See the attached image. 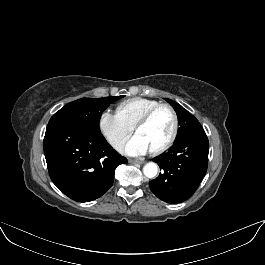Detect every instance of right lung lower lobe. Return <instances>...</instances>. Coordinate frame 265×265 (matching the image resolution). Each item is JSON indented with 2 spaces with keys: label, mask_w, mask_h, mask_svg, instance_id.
I'll return each mask as SVG.
<instances>
[{
  "label": "right lung lower lobe",
  "mask_w": 265,
  "mask_h": 265,
  "mask_svg": "<svg viewBox=\"0 0 265 265\" xmlns=\"http://www.w3.org/2000/svg\"><path fill=\"white\" fill-rule=\"evenodd\" d=\"M43 148L51 180L79 202L102 196L113 184L116 167L127 163L101 132L74 124L48 125Z\"/></svg>",
  "instance_id": "98d812e1"
}]
</instances>
